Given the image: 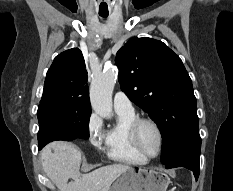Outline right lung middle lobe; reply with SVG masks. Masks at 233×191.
Here are the masks:
<instances>
[{"instance_id":"dd1d6c3e","label":"right lung middle lobe","mask_w":233,"mask_h":191,"mask_svg":"<svg viewBox=\"0 0 233 191\" xmlns=\"http://www.w3.org/2000/svg\"><path fill=\"white\" fill-rule=\"evenodd\" d=\"M90 109L73 108L57 103H40L38 106V145L53 140L71 141L89 138Z\"/></svg>"}]
</instances>
